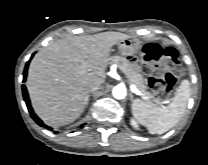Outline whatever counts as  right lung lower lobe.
I'll list each match as a JSON object with an SVG mask.
<instances>
[{
	"label": "right lung lower lobe",
	"mask_w": 208,
	"mask_h": 165,
	"mask_svg": "<svg viewBox=\"0 0 208 165\" xmlns=\"http://www.w3.org/2000/svg\"><path fill=\"white\" fill-rule=\"evenodd\" d=\"M29 63H30V61H28V62L26 63V66H25V69H24V72H23V82H25L26 77H27V70H28ZM22 91H23V97H24L25 103H26V105H27V108H28V110H29V112H30L32 118L36 121V123H37L38 125L43 126V127H45V128H48V129L52 130L51 127L45 125V124H44V123H43V122H42V121L34 114V111H33L32 107H31V105H30V100H29L28 93H27V89H26L25 85H22ZM55 133H58V132H55Z\"/></svg>",
	"instance_id": "obj_1"
}]
</instances>
